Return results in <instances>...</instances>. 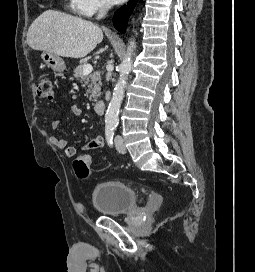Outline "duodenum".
Masks as SVG:
<instances>
[{
  "label": "duodenum",
  "mask_w": 255,
  "mask_h": 272,
  "mask_svg": "<svg viewBox=\"0 0 255 272\" xmlns=\"http://www.w3.org/2000/svg\"><path fill=\"white\" fill-rule=\"evenodd\" d=\"M94 111L97 113V114H102L104 112V109H105V101L104 100H98L94 103Z\"/></svg>",
  "instance_id": "duodenum-1"
}]
</instances>
